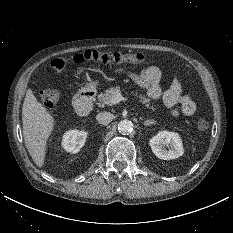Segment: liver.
<instances>
[{
    "mask_svg": "<svg viewBox=\"0 0 233 233\" xmlns=\"http://www.w3.org/2000/svg\"><path fill=\"white\" fill-rule=\"evenodd\" d=\"M22 123L26 148L35 164L42 167L46 154V142L54 129L55 120L30 88L26 92L22 107Z\"/></svg>",
    "mask_w": 233,
    "mask_h": 233,
    "instance_id": "1",
    "label": "liver"
}]
</instances>
